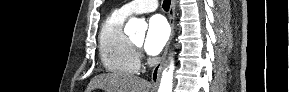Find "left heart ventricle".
Returning <instances> with one entry per match:
<instances>
[{
	"label": "left heart ventricle",
	"mask_w": 289,
	"mask_h": 92,
	"mask_svg": "<svg viewBox=\"0 0 289 92\" xmlns=\"http://www.w3.org/2000/svg\"><path fill=\"white\" fill-rule=\"evenodd\" d=\"M142 41H143V37L142 36H139V37H137V38H135L133 40V42L136 43L137 45H141Z\"/></svg>",
	"instance_id": "obj_1"
}]
</instances>
